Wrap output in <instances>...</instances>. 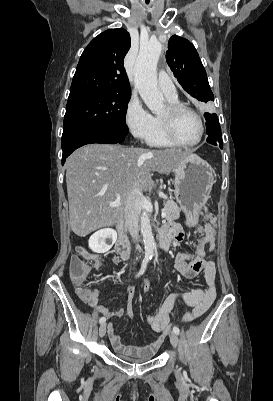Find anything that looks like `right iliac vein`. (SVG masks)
Segmentation results:
<instances>
[{"mask_svg": "<svg viewBox=\"0 0 273 401\" xmlns=\"http://www.w3.org/2000/svg\"><path fill=\"white\" fill-rule=\"evenodd\" d=\"M106 333V323H102L99 327V336L103 337Z\"/></svg>", "mask_w": 273, "mask_h": 401, "instance_id": "right-iliac-vein-1", "label": "right iliac vein"}]
</instances>
